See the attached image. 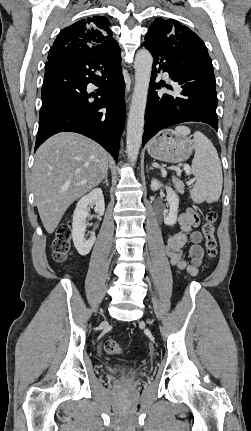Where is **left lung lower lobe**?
I'll return each instance as SVG.
<instances>
[{
  "mask_svg": "<svg viewBox=\"0 0 251 431\" xmlns=\"http://www.w3.org/2000/svg\"><path fill=\"white\" fill-rule=\"evenodd\" d=\"M142 45L153 56L142 146L160 130L182 122H203L217 131V93L212 65L187 59L178 52L164 50L161 45L147 41ZM156 65H159L158 70ZM160 70L169 73L172 81L179 86L178 92L173 95H158L155 92L165 86V83H155ZM166 87L173 90L170 85Z\"/></svg>",
  "mask_w": 251,
  "mask_h": 431,
  "instance_id": "0a47b994",
  "label": "left lung lower lobe"
}]
</instances>
